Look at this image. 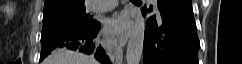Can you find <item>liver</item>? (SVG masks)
Segmentation results:
<instances>
[{
  "label": "liver",
  "instance_id": "1",
  "mask_svg": "<svg viewBox=\"0 0 242 64\" xmlns=\"http://www.w3.org/2000/svg\"><path fill=\"white\" fill-rule=\"evenodd\" d=\"M44 64H99L93 57L80 52L59 50L49 55Z\"/></svg>",
  "mask_w": 242,
  "mask_h": 64
}]
</instances>
